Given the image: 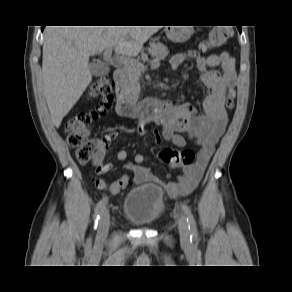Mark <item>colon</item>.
Masks as SVG:
<instances>
[{
    "label": "colon",
    "instance_id": "5ec220e1",
    "mask_svg": "<svg viewBox=\"0 0 292 292\" xmlns=\"http://www.w3.org/2000/svg\"><path fill=\"white\" fill-rule=\"evenodd\" d=\"M233 31L229 26H219L214 28L206 42L204 48H213L224 45L232 36ZM89 94L92 98H99L100 102L88 113H79L69 118L64 125L69 145L76 149V158L82 163L90 162L96 152L95 142L88 138L89 126L100 116L106 114L113 102V87L108 77H100L90 87ZM227 105L231 107L233 102L228 99ZM159 160L168 164L191 165L195 159V154L190 149L176 150L166 148L159 152ZM99 188H105L103 181L97 180Z\"/></svg>",
    "mask_w": 292,
    "mask_h": 292
}]
</instances>
